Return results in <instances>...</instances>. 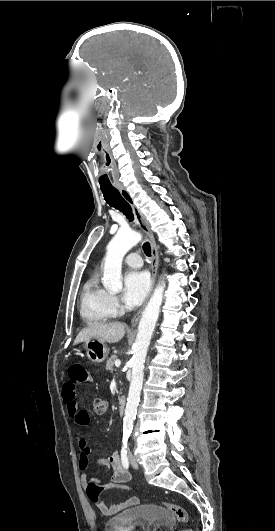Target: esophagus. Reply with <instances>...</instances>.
<instances>
[{"label":"esophagus","mask_w":275,"mask_h":531,"mask_svg":"<svg viewBox=\"0 0 275 531\" xmlns=\"http://www.w3.org/2000/svg\"><path fill=\"white\" fill-rule=\"evenodd\" d=\"M115 187L120 191V194L121 196L132 206V209H133V213H134V218H135V222L137 224V226L142 230L144 231L147 236L149 237L150 239V243H151V291L154 287V283H155V277H156V273H157V269H158V263H159V258H158V251H157V246H156V243H155V240H154V235H153V232L151 231L150 229V226H149V223L148 221L146 220L145 216L141 213V211H139V209L136 208V206L134 205L133 201H132V198L131 196L129 195L128 191H126L125 187L122 185V184H116ZM148 299L144 302L143 306L141 307V309H139V311L134 315L132 321H131V325L132 327H135L141 317V314L148 302Z\"/></svg>","instance_id":"1"}]
</instances>
